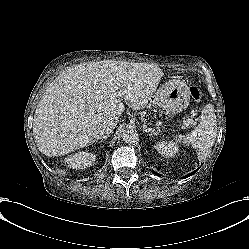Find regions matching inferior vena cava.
<instances>
[{"label": "inferior vena cava", "instance_id": "obj_1", "mask_svg": "<svg viewBox=\"0 0 249 249\" xmlns=\"http://www.w3.org/2000/svg\"><path fill=\"white\" fill-rule=\"evenodd\" d=\"M117 120H108L101 124L100 129H99V134L100 135H109L117 125Z\"/></svg>", "mask_w": 249, "mask_h": 249}]
</instances>
